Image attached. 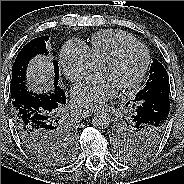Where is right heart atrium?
Listing matches in <instances>:
<instances>
[{"label":"right heart atrium","mask_w":184,"mask_h":184,"mask_svg":"<svg viewBox=\"0 0 184 184\" xmlns=\"http://www.w3.org/2000/svg\"><path fill=\"white\" fill-rule=\"evenodd\" d=\"M59 64L65 76L75 81L93 71V61L88 46L79 39L68 40L60 50Z\"/></svg>","instance_id":"1"}]
</instances>
